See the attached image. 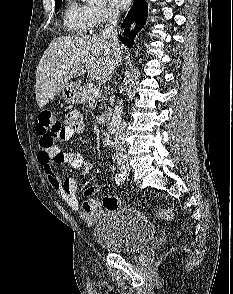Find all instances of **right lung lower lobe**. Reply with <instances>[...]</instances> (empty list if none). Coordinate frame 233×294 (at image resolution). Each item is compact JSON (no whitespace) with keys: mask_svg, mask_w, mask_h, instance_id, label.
<instances>
[{"mask_svg":"<svg viewBox=\"0 0 233 294\" xmlns=\"http://www.w3.org/2000/svg\"><path fill=\"white\" fill-rule=\"evenodd\" d=\"M148 5L145 0H134L132 9L128 12V15L125 18L124 23L122 24L123 28H126V35L128 38H121V41L128 47H132L134 44V38L136 33L141 29L147 18ZM134 21L137 22V25L134 31H130L128 28L131 23Z\"/></svg>","mask_w":233,"mask_h":294,"instance_id":"1","label":"right lung lower lobe"}]
</instances>
